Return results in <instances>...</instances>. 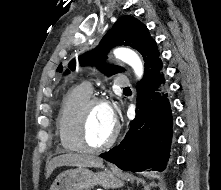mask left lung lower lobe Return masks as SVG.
<instances>
[{
  "instance_id": "1",
  "label": "left lung lower lobe",
  "mask_w": 221,
  "mask_h": 190,
  "mask_svg": "<svg viewBox=\"0 0 221 190\" xmlns=\"http://www.w3.org/2000/svg\"><path fill=\"white\" fill-rule=\"evenodd\" d=\"M158 59L137 84L136 118L122 142L100 157L131 172L165 170L173 137V117Z\"/></svg>"
}]
</instances>
